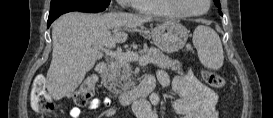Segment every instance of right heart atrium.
Instances as JSON below:
<instances>
[{
    "label": "right heart atrium",
    "mask_w": 273,
    "mask_h": 118,
    "mask_svg": "<svg viewBox=\"0 0 273 118\" xmlns=\"http://www.w3.org/2000/svg\"><path fill=\"white\" fill-rule=\"evenodd\" d=\"M133 3H134L133 0H119V4L121 5L122 8L131 7Z\"/></svg>",
    "instance_id": "d8ad5b80"
}]
</instances>
